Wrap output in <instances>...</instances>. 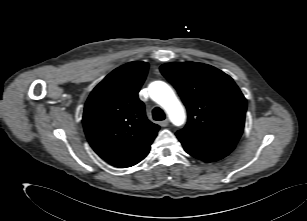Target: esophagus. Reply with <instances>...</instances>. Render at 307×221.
<instances>
[{"mask_svg": "<svg viewBox=\"0 0 307 221\" xmlns=\"http://www.w3.org/2000/svg\"><path fill=\"white\" fill-rule=\"evenodd\" d=\"M159 124H160L161 127H166L169 124V120L165 119L163 121H160Z\"/></svg>", "mask_w": 307, "mask_h": 221, "instance_id": "1", "label": "esophagus"}]
</instances>
